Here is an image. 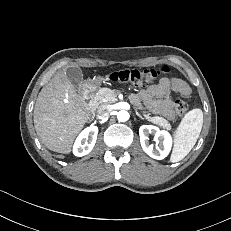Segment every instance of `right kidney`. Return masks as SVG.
Listing matches in <instances>:
<instances>
[{
	"mask_svg": "<svg viewBox=\"0 0 231 231\" xmlns=\"http://www.w3.org/2000/svg\"><path fill=\"white\" fill-rule=\"evenodd\" d=\"M97 134V126H90L84 129L75 141L73 147L74 155L82 157L90 153L96 143Z\"/></svg>",
	"mask_w": 231,
	"mask_h": 231,
	"instance_id": "1",
	"label": "right kidney"
}]
</instances>
